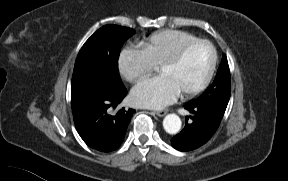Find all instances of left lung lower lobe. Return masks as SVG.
<instances>
[{
    "label": "left lung lower lobe",
    "mask_w": 288,
    "mask_h": 181,
    "mask_svg": "<svg viewBox=\"0 0 288 181\" xmlns=\"http://www.w3.org/2000/svg\"><path fill=\"white\" fill-rule=\"evenodd\" d=\"M185 108L193 114L190 116L192 123L186 121L183 130L171 140L172 146L179 151H191L205 144L224 115V111L206 104L189 103Z\"/></svg>",
    "instance_id": "obj_1"
}]
</instances>
